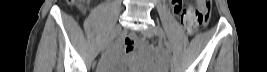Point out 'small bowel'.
Returning <instances> with one entry per match:
<instances>
[{"label": "small bowel", "mask_w": 267, "mask_h": 72, "mask_svg": "<svg viewBox=\"0 0 267 72\" xmlns=\"http://www.w3.org/2000/svg\"><path fill=\"white\" fill-rule=\"evenodd\" d=\"M175 2V1H174ZM173 2V14L174 15H181V22L184 24V26L187 28L188 31L191 27L197 26V18L189 13V10L192 8L191 6H187L185 9L183 8L182 1L179 2L177 5ZM175 6H178V10H175ZM123 42L126 47V52L131 53V51L134 49L136 39L133 35H128L123 39ZM158 57L159 55L156 54Z\"/></svg>", "instance_id": "small-bowel-1"}]
</instances>
